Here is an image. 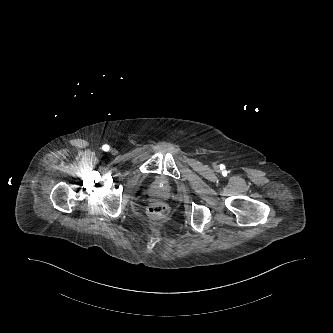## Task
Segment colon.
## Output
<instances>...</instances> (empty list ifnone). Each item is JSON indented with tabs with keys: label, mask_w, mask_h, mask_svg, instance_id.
Here are the masks:
<instances>
[{
	"label": "colon",
	"mask_w": 333,
	"mask_h": 333,
	"mask_svg": "<svg viewBox=\"0 0 333 333\" xmlns=\"http://www.w3.org/2000/svg\"><path fill=\"white\" fill-rule=\"evenodd\" d=\"M167 212V207L163 203H156L152 205L149 209V213L154 218H161L163 217Z\"/></svg>",
	"instance_id": "5ec220e1"
}]
</instances>
